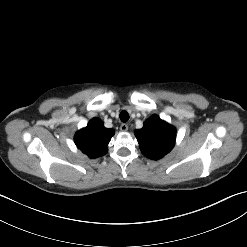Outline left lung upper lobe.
<instances>
[{
  "instance_id": "5c2ea615",
  "label": "left lung upper lobe",
  "mask_w": 247,
  "mask_h": 247,
  "mask_svg": "<svg viewBox=\"0 0 247 247\" xmlns=\"http://www.w3.org/2000/svg\"><path fill=\"white\" fill-rule=\"evenodd\" d=\"M135 136L142 153L149 159L157 160L174 147L176 129L157 115H152L142 129L135 131Z\"/></svg>"
}]
</instances>
